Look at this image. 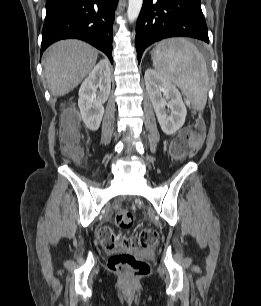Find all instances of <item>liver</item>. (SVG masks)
<instances>
[{
	"label": "liver",
	"instance_id": "1",
	"mask_svg": "<svg viewBox=\"0 0 261 306\" xmlns=\"http://www.w3.org/2000/svg\"><path fill=\"white\" fill-rule=\"evenodd\" d=\"M98 52L79 40L53 44L46 52L44 75L50 92L63 96L77 87L95 66Z\"/></svg>",
	"mask_w": 261,
	"mask_h": 306
}]
</instances>
